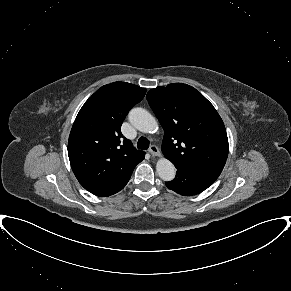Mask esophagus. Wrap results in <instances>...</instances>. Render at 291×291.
Returning a JSON list of instances; mask_svg holds the SVG:
<instances>
[{
  "instance_id": "esophagus-1",
  "label": "esophagus",
  "mask_w": 291,
  "mask_h": 291,
  "mask_svg": "<svg viewBox=\"0 0 291 291\" xmlns=\"http://www.w3.org/2000/svg\"><path fill=\"white\" fill-rule=\"evenodd\" d=\"M149 153L152 155V156H160V151L158 149V147L156 145H152L150 148H149Z\"/></svg>"
}]
</instances>
